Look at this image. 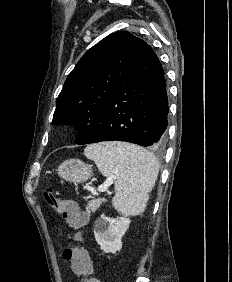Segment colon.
I'll return each mask as SVG.
<instances>
[{"mask_svg": "<svg viewBox=\"0 0 232 282\" xmlns=\"http://www.w3.org/2000/svg\"><path fill=\"white\" fill-rule=\"evenodd\" d=\"M46 203L57 213L63 216L68 225L76 232L73 234V241H80L79 230L86 224L87 217L82 213L78 205L73 200H62L58 193L48 188L44 193ZM63 258L67 264L79 275H84V282H101L97 278L91 277V264L86 250L78 246L68 247L63 251Z\"/></svg>", "mask_w": 232, "mask_h": 282, "instance_id": "colon-1", "label": "colon"}]
</instances>
